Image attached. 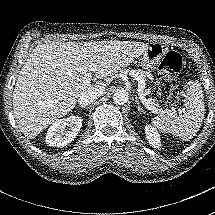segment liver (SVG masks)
Returning <instances> with one entry per match:
<instances>
[{
  "label": "liver",
  "instance_id": "6515ba94",
  "mask_svg": "<svg viewBox=\"0 0 215 215\" xmlns=\"http://www.w3.org/2000/svg\"><path fill=\"white\" fill-rule=\"evenodd\" d=\"M144 42L102 40L53 42L36 46L22 66L13 91V113L20 131L35 138L53 121L72 111L84 93L108 84L86 83L84 74L112 77L139 58Z\"/></svg>",
  "mask_w": 215,
  "mask_h": 215
}]
</instances>
